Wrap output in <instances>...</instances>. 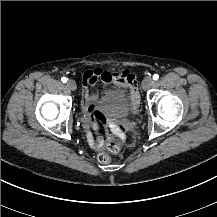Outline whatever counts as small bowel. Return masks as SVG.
I'll return each instance as SVG.
<instances>
[{
	"mask_svg": "<svg viewBox=\"0 0 217 217\" xmlns=\"http://www.w3.org/2000/svg\"><path fill=\"white\" fill-rule=\"evenodd\" d=\"M100 80L104 82V92L114 91L120 96L127 98L134 110L137 109L139 104L136 76L132 71L124 69L111 73L110 71L87 70L83 74L81 83L84 86L83 98L86 107L84 108L82 124L86 130L88 144L94 152L102 151L113 135L123 139L125 133V121H114L106 118L95 105V92L90 93L89 88L86 87L89 85L95 86ZM99 123H103L106 126V137L100 134Z\"/></svg>",
	"mask_w": 217,
	"mask_h": 217,
	"instance_id": "c3829d8e",
	"label": "small bowel"
}]
</instances>
